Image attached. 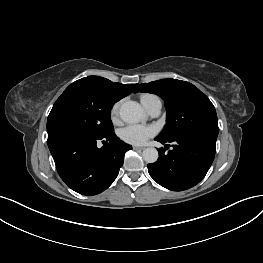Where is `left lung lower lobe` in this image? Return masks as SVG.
Segmentation results:
<instances>
[{"instance_id": "1", "label": "left lung lower lobe", "mask_w": 263, "mask_h": 263, "mask_svg": "<svg viewBox=\"0 0 263 263\" xmlns=\"http://www.w3.org/2000/svg\"><path fill=\"white\" fill-rule=\"evenodd\" d=\"M155 140L174 144L168 153L160 148L159 159L147 165L150 176L169 190L182 191L195 186L205 177L214 160L215 137L188 135L169 141Z\"/></svg>"}]
</instances>
